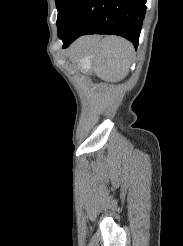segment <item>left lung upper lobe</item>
I'll return each mask as SVG.
<instances>
[{
	"instance_id": "left-lung-upper-lobe-1",
	"label": "left lung upper lobe",
	"mask_w": 183,
	"mask_h": 246,
	"mask_svg": "<svg viewBox=\"0 0 183 246\" xmlns=\"http://www.w3.org/2000/svg\"><path fill=\"white\" fill-rule=\"evenodd\" d=\"M56 7L58 10V17H57V27L58 30L60 29L61 25L63 24L67 14L74 2V0H55Z\"/></svg>"
}]
</instances>
